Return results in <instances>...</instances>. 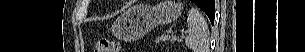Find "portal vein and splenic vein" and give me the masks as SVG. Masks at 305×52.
<instances>
[{
  "mask_svg": "<svg viewBox=\"0 0 305 52\" xmlns=\"http://www.w3.org/2000/svg\"><path fill=\"white\" fill-rule=\"evenodd\" d=\"M187 33V31H185V30H182V34L184 35V34H186Z\"/></svg>",
  "mask_w": 305,
  "mask_h": 52,
  "instance_id": "obj_1",
  "label": "portal vein and splenic vein"
}]
</instances>
